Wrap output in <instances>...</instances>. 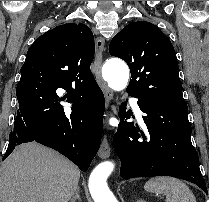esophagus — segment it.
<instances>
[{
    "label": "esophagus",
    "mask_w": 209,
    "mask_h": 202,
    "mask_svg": "<svg viewBox=\"0 0 209 202\" xmlns=\"http://www.w3.org/2000/svg\"><path fill=\"white\" fill-rule=\"evenodd\" d=\"M104 39L102 37H98L95 41V60H94V70H95V76L96 79L102 88L107 103L109 104L111 100L113 99V92L111 89L107 86V84L104 82L102 75H101V69H102V61H103V53L105 50L104 47ZM110 146L107 141V135L104 136V139L102 141L101 147L99 149L98 155L102 159H106L110 156Z\"/></svg>",
    "instance_id": "esophagus-1"
}]
</instances>
